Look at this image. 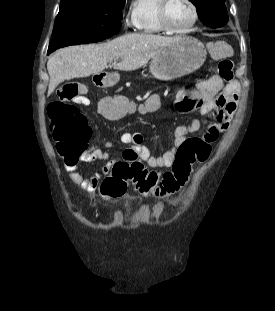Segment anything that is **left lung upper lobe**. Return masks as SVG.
Segmentation results:
<instances>
[{"mask_svg":"<svg viewBox=\"0 0 275 311\" xmlns=\"http://www.w3.org/2000/svg\"><path fill=\"white\" fill-rule=\"evenodd\" d=\"M198 9L202 23L211 28H219L228 22L225 0H190Z\"/></svg>","mask_w":275,"mask_h":311,"instance_id":"obj_1","label":"left lung upper lobe"}]
</instances>
